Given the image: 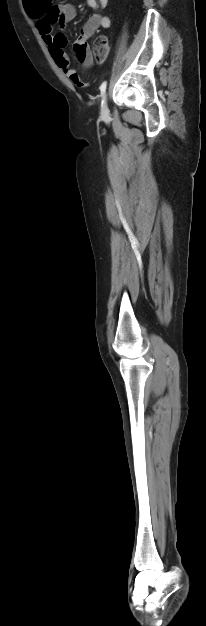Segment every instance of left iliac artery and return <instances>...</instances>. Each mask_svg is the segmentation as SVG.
Here are the masks:
<instances>
[{"label":"left iliac artery","instance_id":"1","mask_svg":"<svg viewBox=\"0 0 206 626\" xmlns=\"http://www.w3.org/2000/svg\"><path fill=\"white\" fill-rule=\"evenodd\" d=\"M106 86H107V82L104 81L101 86H100V91H101V95H104L105 91H106Z\"/></svg>","mask_w":206,"mask_h":626}]
</instances>
